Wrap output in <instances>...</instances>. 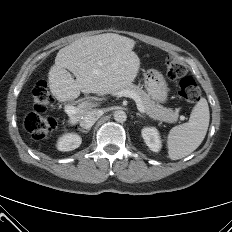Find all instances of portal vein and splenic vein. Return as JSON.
Returning <instances> with one entry per match:
<instances>
[{"label": "portal vein and splenic vein", "instance_id": "portal-vein-and-splenic-vein-1", "mask_svg": "<svg viewBox=\"0 0 232 232\" xmlns=\"http://www.w3.org/2000/svg\"><path fill=\"white\" fill-rule=\"evenodd\" d=\"M118 95L132 98L136 102L137 109L141 113H145V109H144V106L142 105L141 99L136 93H133V92L128 91V90H124V91L119 92ZM64 110L68 115H72V114H75L77 112L78 108L71 106V105H67V106H65ZM181 119H184V117H181Z\"/></svg>", "mask_w": 232, "mask_h": 232}]
</instances>
